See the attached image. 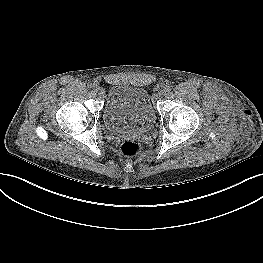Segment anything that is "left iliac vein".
<instances>
[{
	"label": "left iliac vein",
	"mask_w": 263,
	"mask_h": 263,
	"mask_svg": "<svg viewBox=\"0 0 263 263\" xmlns=\"http://www.w3.org/2000/svg\"><path fill=\"white\" fill-rule=\"evenodd\" d=\"M165 90H162L160 93H159V96H164L165 95Z\"/></svg>",
	"instance_id": "obj_1"
}]
</instances>
